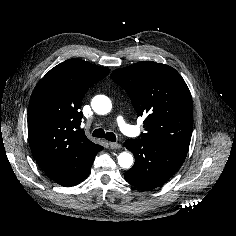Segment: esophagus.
<instances>
[{"label": "esophagus", "instance_id": "esophagus-1", "mask_svg": "<svg viewBox=\"0 0 236 236\" xmlns=\"http://www.w3.org/2000/svg\"><path fill=\"white\" fill-rule=\"evenodd\" d=\"M109 146L111 149H119L121 148V145L119 143H114V142H110Z\"/></svg>", "mask_w": 236, "mask_h": 236}]
</instances>
